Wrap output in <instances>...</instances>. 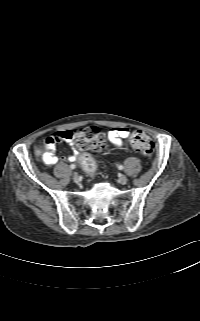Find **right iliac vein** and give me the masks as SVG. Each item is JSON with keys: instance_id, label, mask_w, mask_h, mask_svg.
Listing matches in <instances>:
<instances>
[{"instance_id": "1", "label": "right iliac vein", "mask_w": 200, "mask_h": 321, "mask_svg": "<svg viewBox=\"0 0 200 321\" xmlns=\"http://www.w3.org/2000/svg\"><path fill=\"white\" fill-rule=\"evenodd\" d=\"M72 176H73V180L74 181H78L79 180V177H78V174L76 173V172H74L73 174H72Z\"/></svg>"}]
</instances>
